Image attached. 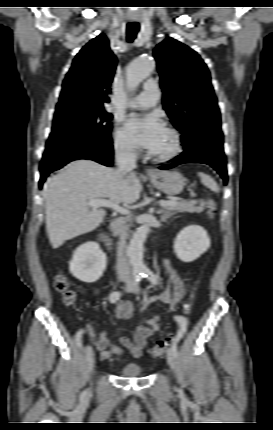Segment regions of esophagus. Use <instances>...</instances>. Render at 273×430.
I'll return each mask as SVG.
<instances>
[{"mask_svg": "<svg viewBox=\"0 0 273 430\" xmlns=\"http://www.w3.org/2000/svg\"><path fill=\"white\" fill-rule=\"evenodd\" d=\"M146 173H147V175H153V174H155V170L149 168V169H146Z\"/></svg>", "mask_w": 273, "mask_h": 430, "instance_id": "esophagus-1", "label": "esophagus"}]
</instances>
